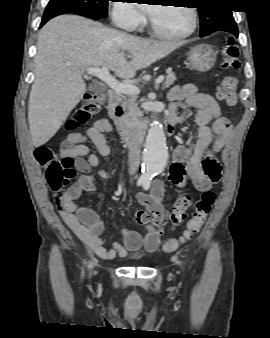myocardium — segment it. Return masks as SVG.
I'll list each match as a JSON object with an SVG mask.
<instances>
[{"instance_id": "f54148a6", "label": "myocardium", "mask_w": 270, "mask_h": 338, "mask_svg": "<svg viewBox=\"0 0 270 338\" xmlns=\"http://www.w3.org/2000/svg\"><path fill=\"white\" fill-rule=\"evenodd\" d=\"M190 10V13L192 15V25L190 29L184 33H179V34H169V33H164L160 30L157 29V27L154 24L153 19L151 16H149V26L151 33L155 35L156 37L162 38V39H169V40H180V39H185L189 36H191L197 29L198 26V13L196 9L193 7L187 5V7Z\"/></svg>"}]
</instances>
